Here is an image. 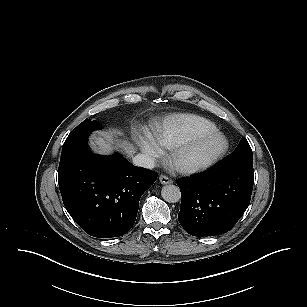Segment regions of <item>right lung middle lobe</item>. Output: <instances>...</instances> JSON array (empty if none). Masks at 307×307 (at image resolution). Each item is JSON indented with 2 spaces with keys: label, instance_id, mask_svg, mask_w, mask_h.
Segmentation results:
<instances>
[{
  "label": "right lung middle lobe",
  "instance_id": "obj_1",
  "mask_svg": "<svg viewBox=\"0 0 307 307\" xmlns=\"http://www.w3.org/2000/svg\"><path fill=\"white\" fill-rule=\"evenodd\" d=\"M97 128H99V124L96 121L85 119L69 134L63 144L62 150L78 142L87 140L90 133Z\"/></svg>",
  "mask_w": 307,
  "mask_h": 307
}]
</instances>
